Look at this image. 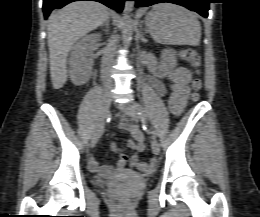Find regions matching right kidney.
<instances>
[{"mask_svg":"<svg viewBox=\"0 0 260 217\" xmlns=\"http://www.w3.org/2000/svg\"><path fill=\"white\" fill-rule=\"evenodd\" d=\"M100 37V34L84 36L73 47L69 60V74L74 85H84L90 79L93 66L91 55L94 45L100 40Z\"/></svg>","mask_w":260,"mask_h":217,"instance_id":"ca27d5eb","label":"right kidney"}]
</instances>
